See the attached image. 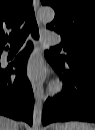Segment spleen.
Masks as SVG:
<instances>
[{
  "instance_id": "1",
  "label": "spleen",
  "mask_w": 95,
  "mask_h": 130,
  "mask_svg": "<svg viewBox=\"0 0 95 130\" xmlns=\"http://www.w3.org/2000/svg\"><path fill=\"white\" fill-rule=\"evenodd\" d=\"M63 130H95L94 126L86 122L69 121L62 125Z\"/></svg>"
}]
</instances>
